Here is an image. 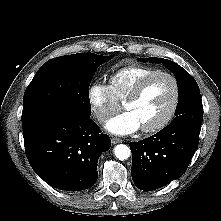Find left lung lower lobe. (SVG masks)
<instances>
[{
	"label": "left lung lower lobe",
	"mask_w": 221,
	"mask_h": 221,
	"mask_svg": "<svg viewBox=\"0 0 221 221\" xmlns=\"http://www.w3.org/2000/svg\"><path fill=\"white\" fill-rule=\"evenodd\" d=\"M202 122L171 123L161 131L131 142L133 182L141 190H154L180 178L194 155Z\"/></svg>",
	"instance_id": "0a47b994"
}]
</instances>
